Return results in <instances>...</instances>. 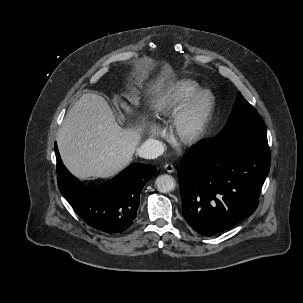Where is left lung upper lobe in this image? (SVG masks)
<instances>
[{
  "instance_id": "1",
  "label": "left lung upper lobe",
  "mask_w": 303,
  "mask_h": 303,
  "mask_svg": "<svg viewBox=\"0 0 303 303\" xmlns=\"http://www.w3.org/2000/svg\"><path fill=\"white\" fill-rule=\"evenodd\" d=\"M237 139L255 147L269 150L267 135L257 110L238 93L233 110L225 127L213 139Z\"/></svg>"
}]
</instances>
